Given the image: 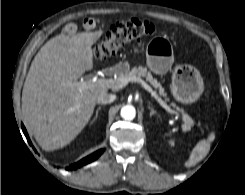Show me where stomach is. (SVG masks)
<instances>
[{
  "instance_id": "stomach-1",
  "label": "stomach",
  "mask_w": 245,
  "mask_h": 195,
  "mask_svg": "<svg viewBox=\"0 0 245 195\" xmlns=\"http://www.w3.org/2000/svg\"><path fill=\"white\" fill-rule=\"evenodd\" d=\"M147 66L156 74L166 73L172 66L174 57L170 42L163 38L151 40L146 51ZM118 74L129 69L128 62H119L114 67ZM204 90L199 71L187 64L177 66L172 73L171 92L180 103L190 104L198 100Z\"/></svg>"
}]
</instances>
